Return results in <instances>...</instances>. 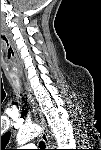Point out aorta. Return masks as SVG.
Here are the masks:
<instances>
[{
	"instance_id": "obj_1",
	"label": "aorta",
	"mask_w": 101,
	"mask_h": 150,
	"mask_svg": "<svg viewBox=\"0 0 101 150\" xmlns=\"http://www.w3.org/2000/svg\"><path fill=\"white\" fill-rule=\"evenodd\" d=\"M41 133V127L36 124H31L22 127L17 134V143L18 145H24L32 138L36 137Z\"/></svg>"
}]
</instances>
